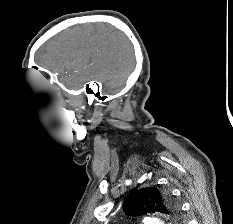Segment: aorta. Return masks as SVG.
I'll list each match as a JSON object with an SVG mask.
<instances>
[{"mask_svg":"<svg viewBox=\"0 0 233 224\" xmlns=\"http://www.w3.org/2000/svg\"><path fill=\"white\" fill-rule=\"evenodd\" d=\"M144 223L145 224H164L158 218H149V217L144 220Z\"/></svg>","mask_w":233,"mask_h":224,"instance_id":"obj_1","label":"aorta"}]
</instances>
